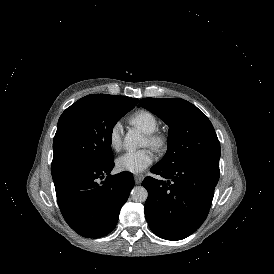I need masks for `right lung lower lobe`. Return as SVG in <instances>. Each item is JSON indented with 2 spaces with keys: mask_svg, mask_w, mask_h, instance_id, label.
<instances>
[{
  "mask_svg": "<svg viewBox=\"0 0 274 274\" xmlns=\"http://www.w3.org/2000/svg\"><path fill=\"white\" fill-rule=\"evenodd\" d=\"M113 166L114 161L102 166L76 164L52 171L62 215L84 237L100 238L114 229L134 186L130 172L110 175ZM103 175L108 176L100 182Z\"/></svg>",
  "mask_w": 274,
  "mask_h": 274,
  "instance_id": "obj_1",
  "label": "right lung lower lobe"
}]
</instances>
